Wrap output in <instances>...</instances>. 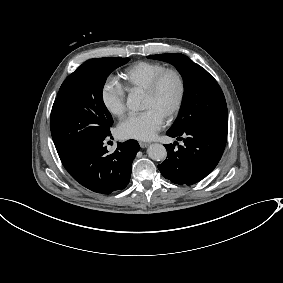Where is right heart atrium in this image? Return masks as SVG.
Masks as SVG:
<instances>
[{
	"label": "right heart atrium",
	"mask_w": 283,
	"mask_h": 283,
	"mask_svg": "<svg viewBox=\"0 0 283 283\" xmlns=\"http://www.w3.org/2000/svg\"><path fill=\"white\" fill-rule=\"evenodd\" d=\"M101 100L107 111L116 117H123L126 112V89L116 79L108 78L101 86Z\"/></svg>",
	"instance_id": "d8ad5b80"
}]
</instances>
